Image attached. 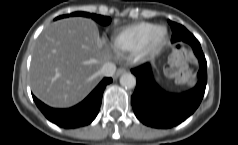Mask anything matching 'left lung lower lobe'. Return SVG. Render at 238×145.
Masks as SVG:
<instances>
[{
  "instance_id": "0a47b994",
  "label": "left lung lower lobe",
  "mask_w": 238,
  "mask_h": 145,
  "mask_svg": "<svg viewBox=\"0 0 238 145\" xmlns=\"http://www.w3.org/2000/svg\"><path fill=\"white\" fill-rule=\"evenodd\" d=\"M172 28V39L192 46L199 60L200 69L196 86L181 94L163 91L154 81L151 65L145 63L131 72L137 83L131 97L136 117L145 125L154 128H171L185 121L200 105L207 84V63L199 41L184 26L168 21Z\"/></svg>"
}]
</instances>
